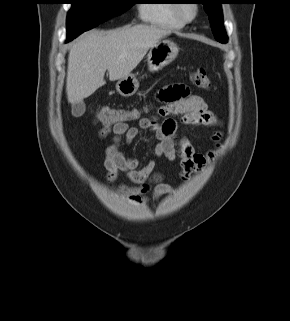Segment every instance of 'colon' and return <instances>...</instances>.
<instances>
[{
	"label": "colon",
	"instance_id": "colon-1",
	"mask_svg": "<svg viewBox=\"0 0 290 321\" xmlns=\"http://www.w3.org/2000/svg\"><path fill=\"white\" fill-rule=\"evenodd\" d=\"M192 82L199 88L212 89V83L204 68H196L191 73ZM96 121L104 126H113L134 121L139 117L136 110H127L118 107H103L96 114Z\"/></svg>",
	"mask_w": 290,
	"mask_h": 321
}]
</instances>
